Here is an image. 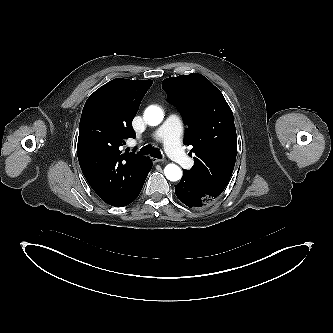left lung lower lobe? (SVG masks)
<instances>
[{
  "instance_id": "1",
  "label": "left lung lower lobe",
  "mask_w": 333,
  "mask_h": 333,
  "mask_svg": "<svg viewBox=\"0 0 333 333\" xmlns=\"http://www.w3.org/2000/svg\"><path fill=\"white\" fill-rule=\"evenodd\" d=\"M175 192L182 203L193 208L207 207L218 197L214 192L196 185L184 171L180 182L175 185Z\"/></svg>"
}]
</instances>
